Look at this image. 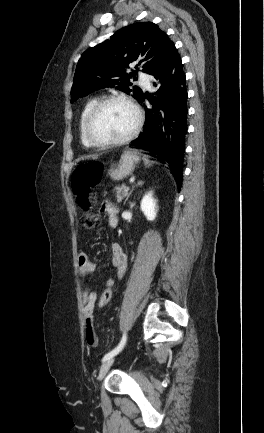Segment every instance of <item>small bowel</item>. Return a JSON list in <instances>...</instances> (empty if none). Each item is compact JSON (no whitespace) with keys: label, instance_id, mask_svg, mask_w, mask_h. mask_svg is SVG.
Here are the masks:
<instances>
[{"label":"small bowel","instance_id":"c3829d8e","mask_svg":"<svg viewBox=\"0 0 264 433\" xmlns=\"http://www.w3.org/2000/svg\"><path fill=\"white\" fill-rule=\"evenodd\" d=\"M101 210L108 215L109 225L116 227L118 225L117 209L109 201L105 200L102 202ZM110 260L113 267L116 269L119 277H122L128 266V258L123 248L119 243H114L110 249ZM78 266L83 276L89 275L95 271V264L89 259L87 254L83 251L79 252L78 255ZM113 280H108L107 284L113 285ZM97 299V292L90 289L84 288L82 291L83 301V312H84V323H85V340L88 346L96 347L98 344V337L94 330V306Z\"/></svg>","mask_w":264,"mask_h":433}]
</instances>
